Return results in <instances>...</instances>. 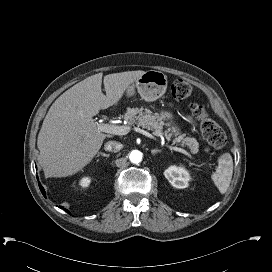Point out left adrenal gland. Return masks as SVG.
<instances>
[{"instance_id": "left-adrenal-gland-1", "label": "left adrenal gland", "mask_w": 272, "mask_h": 272, "mask_svg": "<svg viewBox=\"0 0 272 272\" xmlns=\"http://www.w3.org/2000/svg\"><path fill=\"white\" fill-rule=\"evenodd\" d=\"M161 151L160 150H158V149H153V150H151V153L153 154V155H155V154H157V153H160Z\"/></svg>"}]
</instances>
